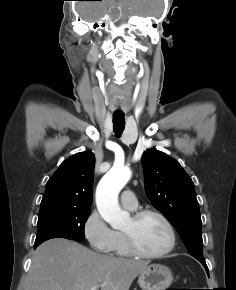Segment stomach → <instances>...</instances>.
Masks as SVG:
<instances>
[{"instance_id":"0dacf381","label":"stomach","mask_w":236,"mask_h":290,"mask_svg":"<svg viewBox=\"0 0 236 290\" xmlns=\"http://www.w3.org/2000/svg\"><path fill=\"white\" fill-rule=\"evenodd\" d=\"M172 282L171 270L159 264L149 265L138 277V284L142 290H166Z\"/></svg>"}]
</instances>
